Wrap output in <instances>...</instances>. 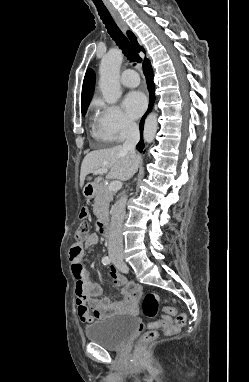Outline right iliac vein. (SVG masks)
<instances>
[{
    "instance_id": "1",
    "label": "right iliac vein",
    "mask_w": 249,
    "mask_h": 382,
    "mask_svg": "<svg viewBox=\"0 0 249 382\" xmlns=\"http://www.w3.org/2000/svg\"><path fill=\"white\" fill-rule=\"evenodd\" d=\"M112 259L114 260V262H119L122 260L121 257H112Z\"/></svg>"
}]
</instances>
